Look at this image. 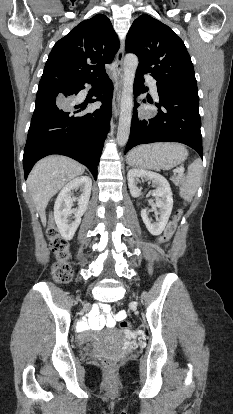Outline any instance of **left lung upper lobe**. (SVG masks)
<instances>
[{
  "label": "left lung upper lobe",
  "instance_id": "1",
  "mask_svg": "<svg viewBox=\"0 0 233 414\" xmlns=\"http://www.w3.org/2000/svg\"><path fill=\"white\" fill-rule=\"evenodd\" d=\"M126 52L138 56L137 71L151 73L158 85L197 87L183 41L167 25L147 14L133 22L126 38Z\"/></svg>",
  "mask_w": 233,
  "mask_h": 414
}]
</instances>
